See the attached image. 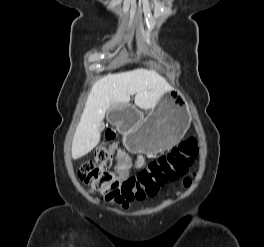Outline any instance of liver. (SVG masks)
I'll return each instance as SVG.
<instances>
[{
  "label": "liver",
  "mask_w": 264,
  "mask_h": 247,
  "mask_svg": "<svg viewBox=\"0 0 264 247\" xmlns=\"http://www.w3.org/2000/svg\"><path fill=\"white\" fill-rule=\"evenodd\" d=\"M171 90L167 81L155 71L136 69L109 74L97 81L89 95L72 142V157L88 154L100 140V124L106 111L120 103L127 104L135 95V104L142 109L154 107Z\"/></svg>",
  "instance_id": "obj_1"
}]
</instances>
